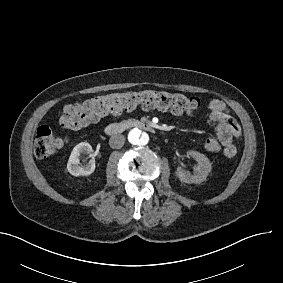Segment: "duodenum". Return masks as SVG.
<instances>
[{
  "label": "duodenum",
  "instance_id": "obj_1",
  "mask_svg": "<svg viewBox=\"0 0 283 283\" xmlns=\"http://www.w3.org/2000/svg\"><path fill=\"white\" fill-rule=\"evenodd\" d=\"M131 128H139L150 133L155 132L154 126L150 123L139 120H127L107 125L105 133L107 135H117Z\"/></svg>",
  "mask_w": 283,
  "mask_h": 283
}]
</instances>
